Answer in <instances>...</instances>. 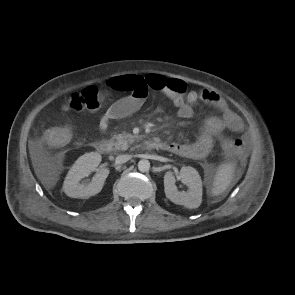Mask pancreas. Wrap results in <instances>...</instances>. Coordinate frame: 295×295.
<instances>
[{
  "instance_id": "1",
  "label": "pancreas",
  "mask_w": 295,
  "mask_h": 295,
  "mask_svg": "<svg viewBox=\"0 0 295 295\" xmlns=\"http://www.w3.org/2000/svg\"><path fill=\"white\" fill-rule=\"evenodd\" d=\"M113 139L116 140L115 149L126 150L128 149L129 144L135 141V136L132 134L122 133V134L114 135Z\"/></svg>"
}]
</instances>
